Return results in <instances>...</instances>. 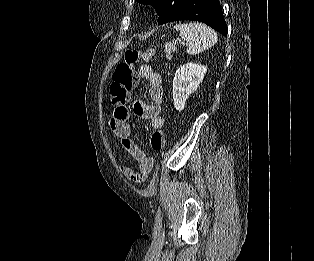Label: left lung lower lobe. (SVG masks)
I'll list each match as a JSON object with an SVG mask.
<instances>
[{"label":"left lung lower lobe","mask_w":314,"mask_h":261,"mask_svg":"<svg viewBox=\"0 0 314 261\" xmlns=\"http://www.w3.org/2000/svg\"><path fill=\"white\" fill-rule=\"evenodd\" d=\"M180 20L200 21L225 36L228 33L219 0H183L169 22Z\"/></svg>","instance_id":"1"}]
</instances>
